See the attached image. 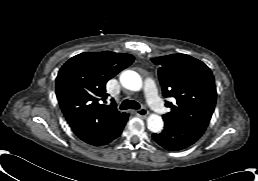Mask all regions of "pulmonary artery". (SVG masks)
<instances>
[{"label": "pulmonary artery", "instance_id": "e3ab8cb5", "mask_svg": "<svg viewBox=\"0 0 258 181\" xmlns=\"http://www.w3.org/2000/svg\"><path fill=\"white\" fill-rule=\"evenodd\" d=\"M145 96L148 101L150 108L158 113L162 114L165 111L164 105L158 96L155 84L152 80L145 81Z\"/></svg>", "mask_w": 258, "mask_h": 181}]
</instances>
